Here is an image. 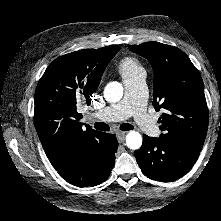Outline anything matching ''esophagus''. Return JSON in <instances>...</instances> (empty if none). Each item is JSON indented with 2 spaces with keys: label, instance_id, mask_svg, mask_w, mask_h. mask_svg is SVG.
Masks as SVG:
<instances>
[{
  "label": "esophagus",
  "instance_id": "obj_1",
  "mask_svg": "<svg viewBox=\"0 0 221 221\" xmlns=\"http://www.w3.org/2000/svg\"><path fill=\"white\" fill-rule=\"evenodd\" d=\"M126 133L125 132H117L116 137L119 143L124 142Z\"/></svg>",
  "mask_w": 221,
  "mask_h": 221
}]
</instances>
